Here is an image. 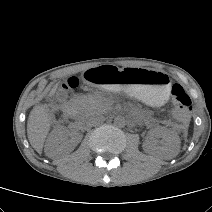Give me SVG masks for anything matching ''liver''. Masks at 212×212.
<instances>
[{"mask_svg":"<svg viewBox=\"0 0 212 212\" xmlns=\"http://www.w3.org/2000/svg\"><path fill=\"white\" fill-rule=\"evenodd\" d=\"M58 84H56L50 92L53 95L56 92ZM51 113L47 105L35 106L28 118L27 135L30 144L38 152L42 153L45 138L51 126Z\"/></svg>","mask_w":212,"mask_h":212,"instance_id":"6515ba94","label":"liver"}]
</instances>
